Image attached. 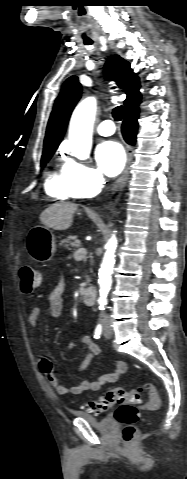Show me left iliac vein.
Masks as SVG:
<instances>
[{
    "instance_id": "obj_1",
    "label": "left iliac vein",
    "mask_w": 187,
    "mask_h": 479,
    "mask_svg": "<svg viewBox=\"0 0 187 479\" xmlns=\"http://www.w3.org/2000/svg\"><path fill=\"white\" fill-rule=\"evenodd\" d=\"M103 335L105 338L110 339L112 336V328L109 322L104 323Z\"/></svg>"
}]
</instances>
